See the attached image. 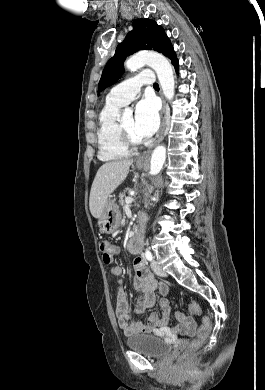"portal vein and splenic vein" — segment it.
I'll return each mask as SVG.
<instances>
[{
    "label": "portal vein and splenic vein",
    "instance_id": "1",
    "mask_svg": "<svg viewBox=\"0 0 265 390\" xmlns=\"http://www.w3.org/2000/svg\"><path fill=\"white\" fill-rule=\"evenodd\" d=\"M133 201H134V198H132V197H127V198L125 199V203H126L127 205L131 204Z\"/></svg>",
    "mask_w": 265,
    "mask_h": 390
}]
</instances>
